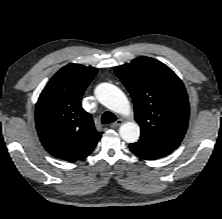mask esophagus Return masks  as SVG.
<instances>
[{"label": "esophagus", "instance_id": "obj_1", "mask_svg": "<svg viewBox=\"0 0 222 219\" xmlns=\"http://www.w3.org/2000/svg\"><path fill=\"white\" fill-rule=\"evenodd\" d=\"M123 123V120L122 119H118L117 121H115L114 123H112L110 125L111 128H116L118 126H120L121 124Z\"/></svg>", "mask_w": 222, "mask_h": 219}]
</instances>
